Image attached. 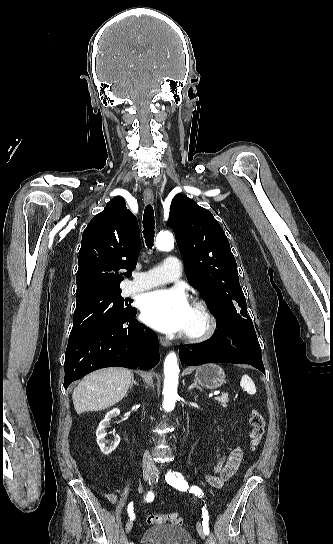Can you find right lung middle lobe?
<instances>
[{"label":"right lung middle lobe","mask_w":333,"mask_h":544,"mask_svg":"<svg viewBox=\"0 0 333 544\" xmlns=\"http://www.w3.org/2000/svg\"><path fill=\"white\" fill-rule=\"evenodd\" d=\"M135 308L122 298L121 290L106 291L76 299L69 340L79 338L129 315Z\"/></svg>","instance_id":"right-lung-middle-lobe-1"}]
</instances>
